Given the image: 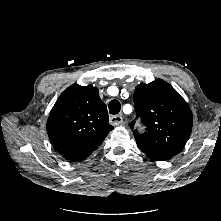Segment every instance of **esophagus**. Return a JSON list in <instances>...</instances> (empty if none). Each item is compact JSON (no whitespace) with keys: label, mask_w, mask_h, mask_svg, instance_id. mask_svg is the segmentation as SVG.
<instances>
[{"label":"esophagus","mask_w":221,"mask_h":221,"mask_svg":"<svg viewBox=\"0 0 221 221\" xmlns=\"http://www.w3.org/2000/svg\"><path fill=\"white\" fill-rule=\"evenodd\" d=\"M110 123L114 126L121 125L123 123V117L121 115H113L110 117Z\"/></svg>","instance_id":"esophagus-1"}]
</instances>
